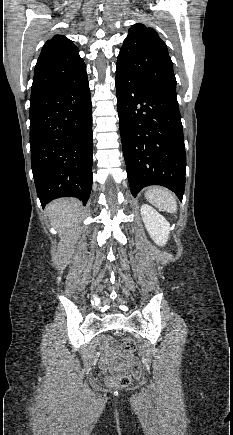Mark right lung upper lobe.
Segmentation results:
<instances>
[{"label":"right lung upper lobe","instance_id":"right-lung-upper-lobe-1","mask_svg":"<svg viewBox=\"0 0 233 435\" xmlns=\"http://www.w3.org/2000/svg\"><path fill=\"white\" fill-rule=\"evenodd\" d=\"M86 72L78 48L63 35H55L42 48L35 66L30 102L39 99Z\"/></svg>","mask_w":233,"mask_h":435}]
</instances>
